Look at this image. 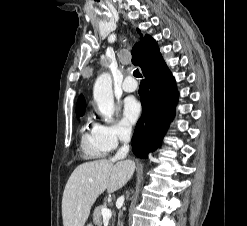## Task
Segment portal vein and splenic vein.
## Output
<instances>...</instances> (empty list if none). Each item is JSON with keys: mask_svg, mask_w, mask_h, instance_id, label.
<instances>
[{"mask_svg": "<svg viewBox=\"0 0 247 226\" xmlns=\"http://www.w3.org/2000/svg\"><path fill=\"white\" fill-rule=\"evenodd\" d=\"M101 213L104 220H109L112 217V211L110 209L104 208Z\"/></svg>", "mask_w": 247, "mask_h": 226, "instance_id": "portal-vein-and-splenic-vein-1", "label": "portal vein and splenic vein"}]
</instances>
